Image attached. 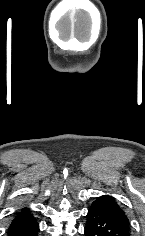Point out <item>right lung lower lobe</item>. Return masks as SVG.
<instances>
[{"instance_id":"98d812e1","label":"right lung lower lobe","mask_w":145,"mask_h":236,"mask_svg":"<svg viewBox=\"0 0 145 236\" xmlns=\"http://www.w3.org/2000/svg\"><path fill=\"white\" fill-rule=\"evenodd\" d=\"M38 233V222L32 212L24 208L15 213V217L8 228L7 236H38Z\"/></svg>"}]
</instances>
